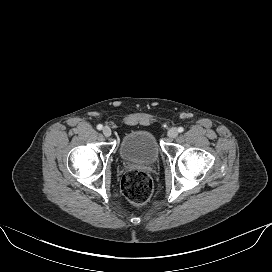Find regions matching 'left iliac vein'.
I'll return each mask as SVG.
<instances>
[{"instance_id": "1", "label": "left iliac vein", "mask_w": 272, "mask_h": 272, "mask_svg": "<svg viewBox=\"0 0 272 272\" xmlns=\"http://www.w3.org/2000/svg\"><path fill=\"white\" fill-rule=\"evenodd\" d=\"M167 135L170 138H176L178 136V130L176 128H171L168 130Z\"/></svg>"}]
</instances>
